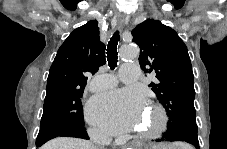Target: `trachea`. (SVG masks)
<instances>
[{"instance_id":"obj_1","label":"trachea","mask_w":227,"mask_h":149,"mask_svg":"<svg viewBox=\"0 0 227 149\" xmlns=\"http://www.w3.org/2000/svg\"><path fill=\"white\" fill-rule=\"evenodd\" d=\"M120 40L119 32L116 31L113 36L110 38V41L107 45V60L108 65L111 69H114L118 61V52L117 45Z\"/></svg>"}]
</instances>
